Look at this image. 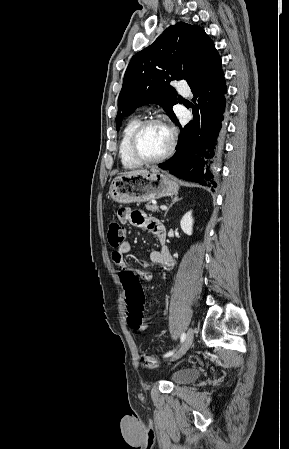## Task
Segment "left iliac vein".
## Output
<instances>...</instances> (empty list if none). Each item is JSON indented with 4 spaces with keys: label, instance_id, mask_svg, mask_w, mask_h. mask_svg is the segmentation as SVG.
<instances>
[{
    "label": "left iliac vein",
    "instance_id": "obj_1",
    "mask_svg": "<svg viewBox=\"0 0 289 449\" xmlns=\"http://www.w3.org/2000/svg\"><path fill=\"white\" fill-rule=\"evenodd\" d=\"M193 339H194L193 329L189 328L182 346L177 351V353L171 358V361L181 358L187 352V350L190 348V346L193 342Z\"/></svg>",
    "mask_w": 289,
    "mask_h": 449
}]
</instances>
